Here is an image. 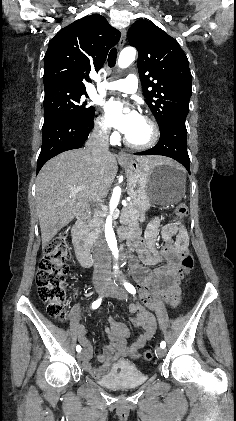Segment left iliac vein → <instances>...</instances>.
I'll return each instance as SVG.
<instances>
[{
    "instance_id": "1",
    "label": "left iliac vein",
    "mask_w": 236,
    "mask_h": 421,
    "mask_svg": "<svg viewBox=\"0 0 236 421\" xmlns=\"http://www.w3.org/2000/svg\"><path fill=\"white\" fill-rule=\"evenodd\" d=\"M106 295L110 297H115L119 300H124L127 297V292L123 287L119 286L116 282L110 281L109 286L106 291ZM156 352L161 357L165 355V350L161 347H158L156 349Z\"/></svg>"
}]
</instances>
